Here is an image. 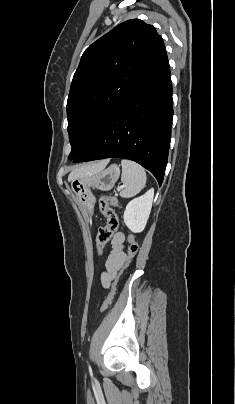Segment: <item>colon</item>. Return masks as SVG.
<instances>
[{"instance_id":"5ec220e1","label":"colon","mask_w":235,"mask_h":404,"mask_svg":"<svg viewBox=\"0 0 235 404\" xmlns=\"http://www.w3.org/2000/svg\"><path fill=\"white\" fill-rule=\"evenodd\" d=\"M117 205V199L113 196H102L99 199V208L103 216L106 218V224L99 228L98 234L96 237V249L98 256H101L103 253V249L105 245L111 240L113 235L116 233L119 227V220L115 210L113 209L114 206ZM128 253L127 258L124 264L126 267L133 257L138 252V243L135 240L133 234L128 235ZM116 285L117 279L114 281L110 292L108 293L107 297L103 301L100 310L103 312L105 311L113 302L116 292Z\"/></svg>"}]
</instances>
